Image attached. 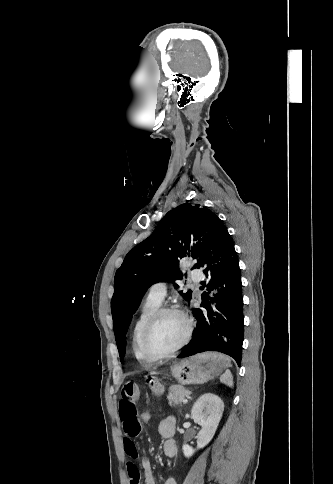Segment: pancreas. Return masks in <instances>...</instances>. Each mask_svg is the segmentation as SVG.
Segmentation results:
<instances>
[{"mask_svg":"<svg viewBox=\"0 0 333 484\" xmlns=\"http://www.w3.org/2000/svg\"><path fill=\"white\" fill-rule=\"evenodd\" d=\"M190 391L181 385H172L169 387L168 400L169 404L181 403L186 397L190 395Z\"/></svg>","mask_w":333,"mask_h":484,"instance_id":"obj_1","label":"pancreas"}]
</instances>
